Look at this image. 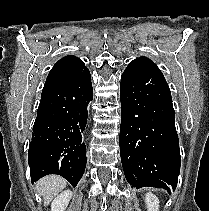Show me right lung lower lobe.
I'll return each instance as SVG.
<instances>
[{
  "mask_svg": "<svg viewBox=\"0 0 209 211\" xmlns=\"http://www.w3.org/2000/svg\"><path fill=\"white\" fill-rule=\"evenodd\" d=\"M92 99L87 68L72 81L41 96L28 154L32 183L57 174L77 185L87 162L82 134Z\"/></svg>",
  "mask_w": 209,
  "mask_h": 211,
  "instance_id": "obj_1",
  "label": "right lung lower lobe"
}]
</instances>
